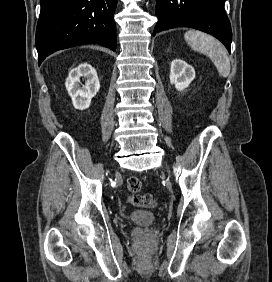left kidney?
Listing matches in <instances>:
<instances>
[{
    "label": "left kidney",
    "mask_w": 272,
    "mask_h": 282,
    "mask_svg": "<svg viewBox=\"0 0 272 282\" xmlns=\"http://www.w3.org/2000/svg\"><path fill=\"white\" fill-rule=\"evenodd\" d=\"M195 78V70L181 59H175L170 65V83L175 85L178 91L187 88Z\"/></svg>",
    "instance_id": "1"
}]
</instances>
